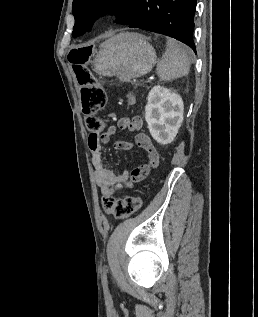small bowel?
<instances>
[{
	"mask_svg": "<svg viewBox=\"0 0 258 317\" xmlns=\"http://www.w3.org/2000/svg\"><path fill=\"white\" fill-rule=\"evenodd\" d=\"M142 126L143 120L138 115L132 118L123 117L118 120L116 126H110L102 133H91L89 135L88 146L91 152V163L94 168V180L103 195H112L131 188L134 183L143 180L159 165V152L151 138L147 134L140 132ZM119 130L135 132L136 134L131 141H116L114 148L117 150H129L136 145L146 151L147 161L132 170L126 169L122 174L116 175L112 170L104 166L101 152L110 137Z\"/></svg>",
	"mask_w": 258,
	"mask_h": 317,
	"instance_id": "c3829d8e",
	"label": "small bowel"
}]
</instances>
